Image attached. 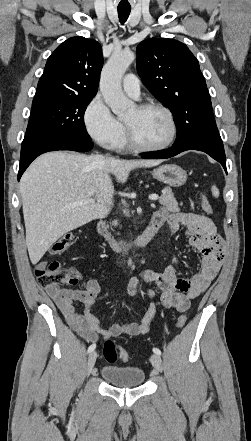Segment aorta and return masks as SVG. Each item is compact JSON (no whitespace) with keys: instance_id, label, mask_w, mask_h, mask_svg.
I'll list each match as a JSON object with an SVG mask.
<instances>
[{"instance_id":"1","label":"aorta","mask_w":251,"mask_h":441,"mask_svg":"<svg viewBox=\"0 0 251 441\" xmlns=\"http://www.w3.org/2000/svg\"><path fill=\"white\" fill-rule=\"evenodd\" d=\"M134 59L135 55L130 50L113 53L102 69L100 91L106 104L118 117L128 114L134 106L121 87L122 76Z\"/></svg>"}]
</instances>
